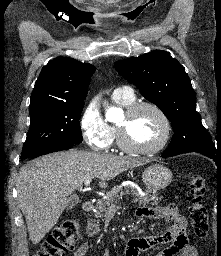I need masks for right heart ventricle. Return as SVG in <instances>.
Wrapping results in <instances>:
<instances>
[{
  "label": "right heart ventricle",
  "instance_id": "1",
  "mask_svg": "<svg viewBox=\"0 0 221 256\" xmlns=\"http://www.w3.org/2000/svg\"><path fill=\"white\" fill-rule=\"evenodd\" d=\"M113 99L117 104L124 106V107H127L135 102L134 96L131 98H126V97H122V96H113ZM113 131H114V129H113ZM114 133H115V131H114Z\"/></svg>",
  "mask_w": 221,
  "mask_h": 256
}]
</instances>
